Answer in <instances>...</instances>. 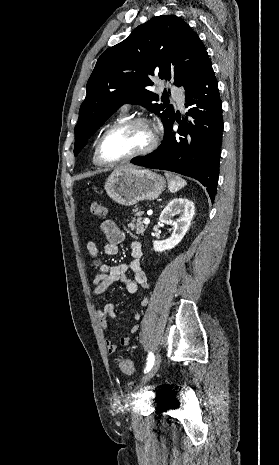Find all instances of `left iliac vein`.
Segmentation results:
<instances>
[{
    "instance_id": "left-iliac-vein-1",
    "label": "left iliac vein",
    "mask_w": 279,
    "mask_h": 465,
    "mask_svg": "<svg viewBox=\"0 0 279 465\" xmlns=\"http://www.w3.org/2000/svg\"><path fill=\"white\" fill-rule=\"evenodd\" d=\"M160 363H161V355L157 354L155 359H154V363H153L152 368L150 369V371L145 375V377L141 381L142 385H145L156 374V372L158 371V369L160 367Z\"/></svg>"
}]
</instances>
